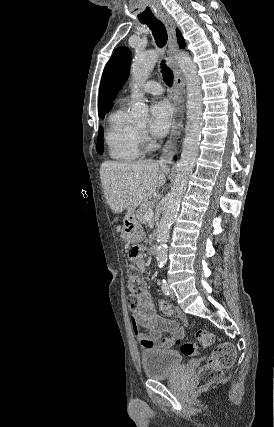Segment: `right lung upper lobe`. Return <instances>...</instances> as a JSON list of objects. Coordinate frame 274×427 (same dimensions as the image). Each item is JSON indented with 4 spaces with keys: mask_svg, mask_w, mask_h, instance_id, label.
I'll list each match as a JSON object with an SVG mask.
<instances>
[{
    "mask_svg": "<svg viewBox=\"0 0 274 427\" xmlns=\"http://www.w3.org/2000/svg\"><path fill=\"white\" fill-rule=\"evenodd\" d=\"M177 38H178L177 40H178L180 48H183L185 46L184 39H183L181 33L178 30H177ZM98 113H99V115L104 114V111L100 107V104H99V108H98Z\"/></svg>",
    "mask_w": 274,
    "mask_h": 427,
    "instance_id": "right-lung-upper-lobe-1",
    "label": "right lung upper lobe"
}]
</instances>
